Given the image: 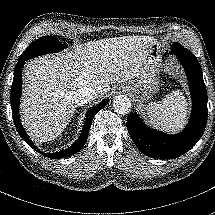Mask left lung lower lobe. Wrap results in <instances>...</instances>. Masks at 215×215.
Here are the masks:
<instances>
[{"instance_id":"obj_1","label":"left lung lower lobe","mask_w":215,"mask_h":215,"mask_svg":"<svg viewBox=\"0 0 215 215\" xmlns=\"http://www.w3.org/2000/svg\"><path fill=\"white\" fill-rule=\"evenodd\" d=\"M185 68L192 96V115L187 127L179 134L169 135L148 128L137 113H131L127 129L137 148L144 154L160 159L177 158L190 150L201 138L207 122V91L197 58L180 46L171 51Z\"/></svg>"}]
</instances>
